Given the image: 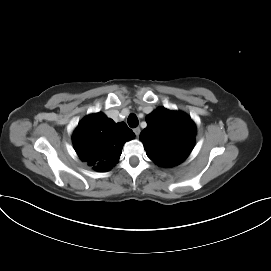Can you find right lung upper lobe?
I'll return each instance as SVG.
<instances>
[{
    "instance_id": "right-lung-upper-lobe-1",
    "label": "right lung upper lobe",
    "mask_w": 271,
    "mask_h": 271,
    "mask_svg": "<svg viewBox=\"0 0 271 271\" xmlns=\"http://www.w3.org/2000/svg\"><path fill=\"white\" fill-rule=\"evenodd\" d=\"M134 137L125 123H115L103 113H96L80 122L72 140L80 159L103 172L118 162L123 144Z\"/></svg>"
}]
</instances>
